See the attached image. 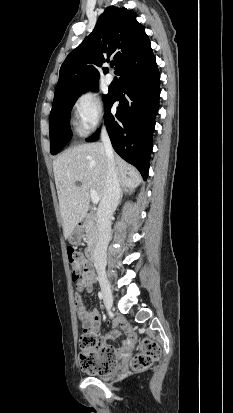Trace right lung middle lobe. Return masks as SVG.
Returning a JSON list of instances; mask_svg holds the SVG:
<instances>
[{
	"label": "right lung middle lobe",
	"instance_id": "right-lung-middle-lobe-1",
	"mask_svg": "<svg viewBox=\"0 0 233 413\" xmlns=\"http://www.w3.org/2000/svg\"><path fill=\"white\" fill-rule=\"evenodd\" d=\"M98 84L89 87L86 90H97ZM86 90L61 99L52 105L49 128H50V148L51 154L59 152L71 139L72 133L69 127V118L72 106L78 99V97ZM109 97V93L104 96V102L106 103Z\"/></svg>",
	"mask_w": 233,
	"mask_h": 413
}]
</instances>
